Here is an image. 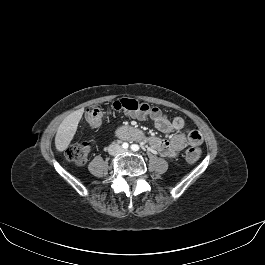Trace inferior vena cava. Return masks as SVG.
Segmentation results:
<instances>
[{"mask_svg": "<svg viewBox=\"0 0 265 265\" xmlns=\"http://www.w3.org/2000/svg\"><path fill=\"white\" fill-rule=\"evenodd\" d=\"M124 152V149L118 144H111L108 147V153L113 156L120 155Z\"/></svg>", "mask_w": 265, "mask_h": 265, "instance_id": "inferior-vena-cava-1", "label": "inferior vena cava"}]
</instances>
